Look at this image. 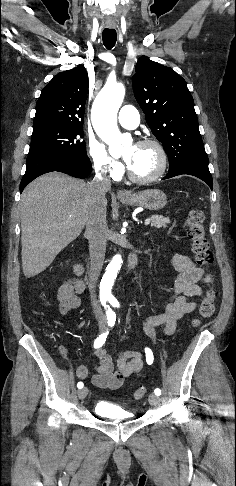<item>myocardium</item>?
<instances>
[{
  "label": "myocardium",
  "instance_id": "myocardium-1",
  "mask_svg": "<svg viewBox=\"0 0 236 486\" xmlns=\"http://www.w3.org/2000/svg\"><path fill=\"white\" fill-rule=\"evenodd\" d=\"M136 146H153V147H155L156 150L158 151V154H159L160 164H159L158 169L152 175L147 176V177H139V176L135 175L130 170V168L128 166V168H127L128 178L131 181L138 183V184H148V183H152V182L157 181L159 178H161L163 176V174L165 173V171L167 169V165H168V155H167V152H166L164 146L158 140L151 139V138L140 140L136 144Z\"/></svg>",
  "mask_w": 236,
  "mask_h": 486
}]
</instances>
